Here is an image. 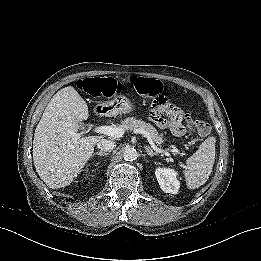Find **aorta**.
<instances>
[{
  "mask_svg": "<svg viewBox=\"0 0 261 261\" xmlns=\"http://www.w3.org/2000/svg\"><path fill=\"white\" fill-rule=\"evenodd\" d=\"M137 151L134 148L128 147L123 151L125 161H133L137 158Z\"/></svg>",
  "mask_w": 261,
  "mask_h": 261,
  "instance_id": "aorta-1",
  "label": "aorta"
}]
</instances>
